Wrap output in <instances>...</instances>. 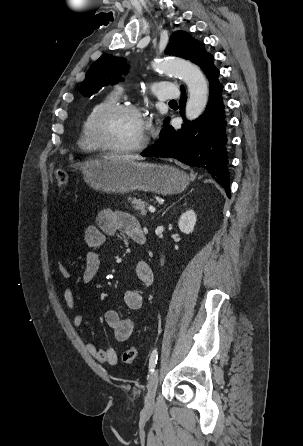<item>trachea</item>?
Segmentation results:
<instances>
[{"mask_svg": "<svg viewBox=\"0 0 303 446\" xmlns=\"http://www.w3.org/2000/svg\"><path fill=\"white\" fill-rule=\"evenodd\" d=\"M169 103H176V101L175 100H171Z\"/></svg>", "mask_w": 303, "mask_h": 446, "instance_id": "1", "label": "trachea"}]
</instances>
